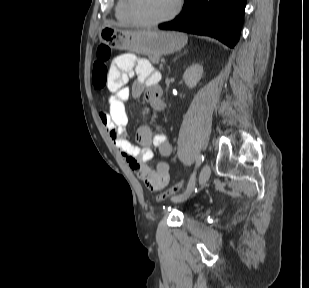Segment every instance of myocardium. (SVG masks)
Segmentation results:
<instances>
[{
  "mask_svg": "<svg viewBox=\"0 0 309 288\" xmlns=\"http://www.w3.org/2000/svg\"><path fill=\"white\" fill-rule=\"evenodd\" d=\"M132 3H133V0H125V13L127 17L130 19V21L132 22V24L136 26H140V27H153V26H157L165 22H168L172 20L173 18H175L180 13L182 6H183V0H176L174 9L168 15L160 19L147 21V20L140 19L134 13Z\"/></svg>",
  "mask_w": 309,
  "mask_h": 288,
  "instance_id": "obj_1",
  "label": "myocardium"
}]
</instances>
